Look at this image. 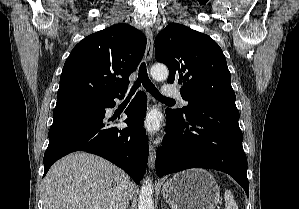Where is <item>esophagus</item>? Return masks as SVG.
<instances>
[{
	"instance_id": "obj_1",
	"label": "esophagus",
	"mask_w": 299,
	"mask_h": 209,
	"mask_svg": "<svg viewBox=\"0 0 299 209\" xmlns=\"http://www.w3.org/2000/svg\"><path fill=\"white\" fill-rule=\"evenodd\" d=\"M145 35L147 39V45L145 50V60L149 62L152 59L153 55V33L152 30L147 27L145 29ZM155 158H156V149L152 143V139L149 140V159L148 166L150 169H153L155 166Z\"/></svg>"
}]
</instances>
